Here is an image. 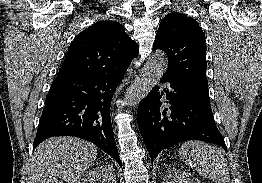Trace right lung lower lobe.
<instances>
[{
  "label": "right lung lower lobe",
  "mask_w": 262,
  "mask_h": 183,
  "mask_svg": "<svg viewBox=\"0 0 262 183\" xmlns=\"http://www.w3.org/2000/svg\"><path fill=\"white\" fill-rule=\"evenodd\" d=\"M126 71L74 79H55L39 121L35 149L52 136L86 139L122 166L110 118V104Z\"/></svg>",
  "instance_id": "obj_1"
}]
</instances>
